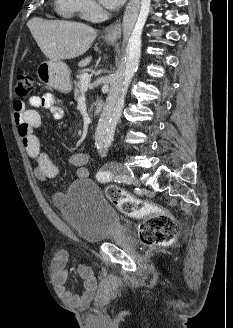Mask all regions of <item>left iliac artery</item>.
Segmentation results:
<instances>
[{
	"mask_svg": "<svg viewBox=\"0 0 233 328\" xmlns=\"http://www.w3.org/2000/svg\"><path fill=\"white\" fill-rule=\"evenodd\" d=\"M105 155V152L103 156ZM97 178L100 182H108L113 179V175L109 171H99L97 174Z\"/></svg>",
	"mask_w": 233,
	"mask_h": 328,
	"instance_id": "1",
	"label": "left iliac artery"
}]
</instances>
